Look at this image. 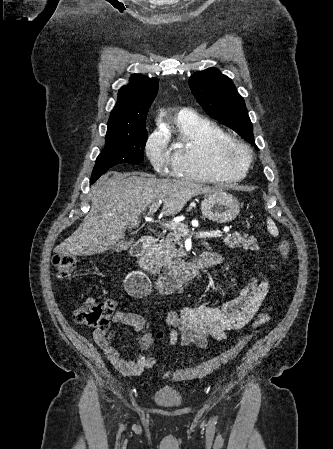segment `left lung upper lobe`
Wrapping results in <instances>:
<instances>
[{
  "label": "left lung upper lobe",
  "instance_id": "1",
  "mask_svg": "<svg viewBox=\"0 0 333 449\" xmlns=\"http://www.w3.org/2000/svg\"><path fill=\"white\" fill-rule=\"evenodd\" d=\"M189 86L205 112L238 132L255 145L253 126L244 99L239 95L232 80L218 69L208 68L194 73ZM257 148V146L255 145Z\"/></svg>",
  "mask_w": 333,
  "mask_h": 449
}]
</instances>
